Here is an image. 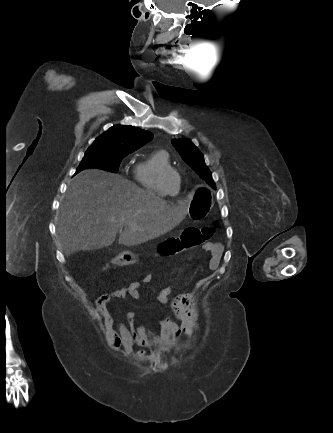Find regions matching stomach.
<instances>
[{
    "label": "stomach",
    "instance_id": "obj_1",
    "mask_svg": "<svg viewBox=\"0 0 333 433\" xmlns=\"http://www.w3.org/2000/svg\"><path fill=\"white\" fill-rule=\"evenodd\" d=\"M210 188L206 186H197L193 200L191 203L190 217L193 220H199L207 216L213 206L212 196Z\"/></svg>",
    "mask_w": 333,
    "mask_h": 433
}]
</instances>
